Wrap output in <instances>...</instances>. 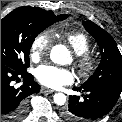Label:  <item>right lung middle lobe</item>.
<instances>
[{
	"label": "right lung middle lobe",
	"instance_id": "1",
	"mask_svg": "<svg viewBox=\"0 0 122 122\" xmlns=\"http://www.w3.org/2000/svg\"><path fill=\"white\" fill-rule=\"evenodd\" d=\"M55 22L37 20L16 10L1 19V64L26 71L35 37Z\"/></svg>",
	"mask_w": 122,
	"mask_h": 122
}]
</instances>
